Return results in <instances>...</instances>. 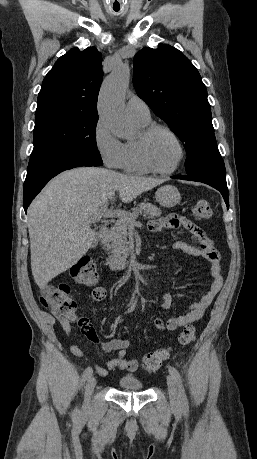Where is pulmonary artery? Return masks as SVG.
I'll list each match as a JSON object with an SVG mask.
<instances>
[{
  "label": "pulmonary artery",
  "instance_id": "1",
  "mask_svg": "<svg viewBox=\"0 0 257 459\" xmlns=\"http://www.w3.org/2000/svg\"><path fill=\"white\" fill-rule=\"evenodd\" d=\"M129 114L136 119L143 121L150 120V110L148 105L138 96H131L126 104Z\"/></svg>",
  "mask_w": 257,
  "mask_h": 459
}]
</instances>
